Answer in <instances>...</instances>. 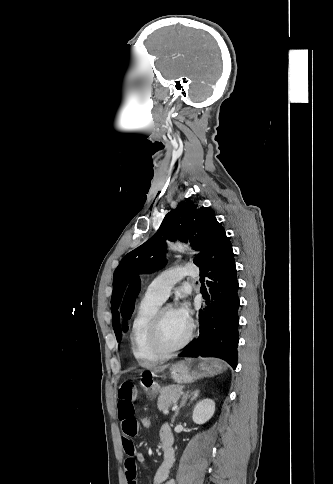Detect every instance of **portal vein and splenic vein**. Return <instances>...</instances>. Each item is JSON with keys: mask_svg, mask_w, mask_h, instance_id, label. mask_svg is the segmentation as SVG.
I'll return each instance as SVG.
<instances>
[{"mask_svg": "<svg viewBox=\"0 0 333 484\" xmlns=\"http://www.w3.org/2000/svg\"><path fill=\"white\" fill-rule=\"evenodd\" d=\"M173 409H174V410H176V409H177V405H174ZM163 413H164V414H167V413H168V411H167V410H165Z\"/></svg>", "mask_w": 333, "mask_h": 484, "instance_id": "18ae733b", "label": "portal vein and splenic vein"}]
</instances>
